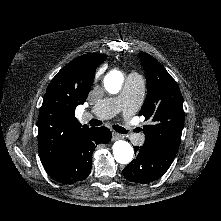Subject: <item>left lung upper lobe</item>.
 I'll list each match as a JSON object with an SVG mask.
<instances>
[{"label":"left lung upper lobe","mask_w":221,"mask_h":221,"mask_svg":"<svg viewBox=\"0 0 221 221\" xmlns=\"http://www.w3.org/2000/svg\"><path fill=\"white\" fill-rule=\"evenodd\" d=\"M139 56L147 81V97L140 114L151 122L143 128L144 145L178 149L185 119L180 89L155 58L144 52Z\"/></svg>","instance_id":"left-lung-upper-lobe-1"}]
</instances>
